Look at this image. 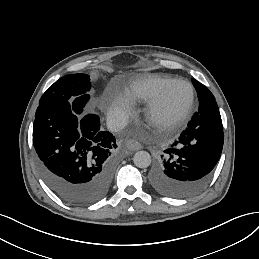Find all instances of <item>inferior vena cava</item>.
<instances>
[{"instance_id": "602c4592", "label": "inferior vena cava", "mask_w": 259, "mask_h": 259, "mask_svg": "<svg viewBox=\"0 0 259 259\" xmlns=\"http://www.w3.org/2000/svg\"><path fill=\"white\" fill-rule=\"evenodd\" d=\"M127 126V119L116 112L107 117V127L112 132H118Z\"/></svg>"}]
</instances>
